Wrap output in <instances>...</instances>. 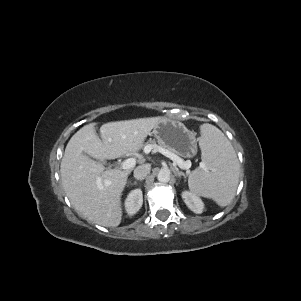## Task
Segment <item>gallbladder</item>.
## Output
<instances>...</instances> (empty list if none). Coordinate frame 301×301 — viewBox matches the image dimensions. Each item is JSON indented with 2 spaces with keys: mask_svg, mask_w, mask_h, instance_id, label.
Returning <instances> with one entry per match:
<instances>
[{
  "mask_svg": "<svg viewBox=\"0 0 301 301\" xmlns=\"http://www.w3.org/2000/svg\"><path fill=\"white\" fill-rule=\"evenodd\" d=\"M103 164H105V161H101Z\"/></svg>",
  "mask_w": 301,
  "mask_h": 301,
  "instance_id": "obj_1",
  "label": "gallbladder"
}]
</instances>
